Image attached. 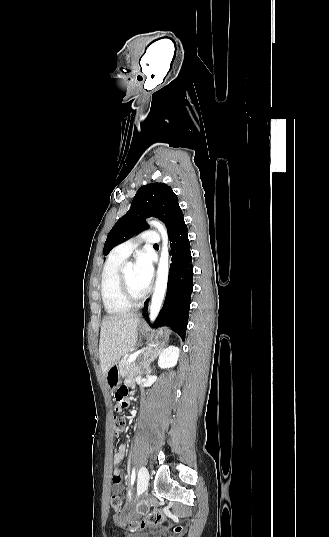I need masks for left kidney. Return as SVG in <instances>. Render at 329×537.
<instances>
[{
    "label": "left kidney",
    "instance_id": "5707ae66",
    "mask_svg": "<svg viewBox=\"0 0 329 537\" xmlns=\"http://www.w3.org/2000/svg\"><path fill=\"white\" fill-rule=\"evenodd\" d=\"M179 348L176 346H169L162 350L158 359V366L160 368H170L176 365L179 357Z\"/></svg>",
    "mask_w": 329,
    "mask_h": 537
}]
</instances>
